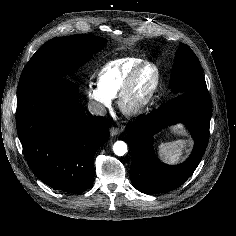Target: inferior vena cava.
Returning <instances> with one entry per match:
<instances>
[{"mask_svg": "<svg viewBox=\"0 0 236 236\" xmlns=\"http://www.w3.org/2000/svg\"><path fill=\"white\" fill-rule=\"evenodd\" d=\"M88 110L92 115L103 116L106 114L105 107L102 104L95 101H90L88 103Z\"/></svg>", "mask_w": 236, "mask_h": 236, "instance_id": "1", "label": "inferior vena cava"}]
</instances>
